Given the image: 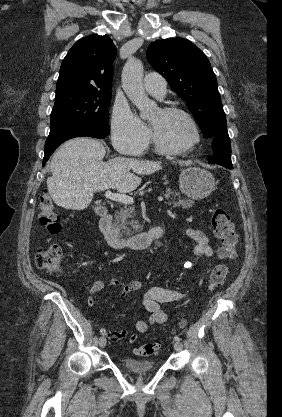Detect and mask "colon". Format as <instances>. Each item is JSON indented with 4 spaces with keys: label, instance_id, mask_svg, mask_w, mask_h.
Listing matches in <instances>:
<instances>
[{
    "label": "colon",
    "instance_id": "colon-1",
    "mask_svg": "<svg viewBox=\"0 0 282 417\" xmlns=\"http://www.w3.org/2000/svg\"><path fill=\"white\" fill-rule=\"evenodd\" d=\"M38 205L40 223L46 233L49 236L59 234L62 230V223L48 190H44L40 196ZM210 221L216 237L222 243L220 254L224 258L233 259L239 239L228 212L222 208L214 209L211 213ZM35 263L38 268L48 273L61 275L64 264V256L61 248L57 244L49 242L46 248L37 253ZM227 274L228 268L225 265H215L209 275L207 288L214 290L220 287L224 283ZM171 336L176 338L178 333L173 331ZM155 348L156 345L140 347L139 354L140 356H153Z\"/></svg>",
    "mask_w": 282,
    "mask_h": 417
}]
</instances>
